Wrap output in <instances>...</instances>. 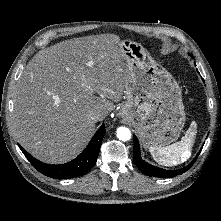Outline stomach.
<instances>
[{
  "mask_svg": "<svg viewBox=\"0 0 221 221\" xmlns=\"http://www.w3.org/2000/svg\"><path fill=\"white\" fill-rule=\"evenodd\" d=\"M120 48L127 65L120 116L133 125L145 147L169 145L186 119L180 86L140 44L124 40Z\"/></svg>",
  "mask_w": 221,
  "mask_h": 221,
  "instance_id": "stomach-1",
  "label": "stomach"
}]
</instances>
